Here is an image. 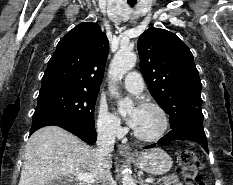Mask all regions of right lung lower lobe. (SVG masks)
Returning <instances> with one entry per match:
<instances>
[{
    "instance_id": "1",
    "label": "right lung lower lobe",
    "mask_w": 233,
    "mask_h": 185,
    "mask_svg": "<svg viewBox=\"0 0 233 185\" xmlns=\"http://www.w3.org/2000/svg\"><path fill=\"white\" fill-rule=\"evenodd\" d=\"M48 125H56L62 127L74 135L78 136L83 141L92 144L96 141V130L95 128H90L78 123L62 121V120H38L32 123V128L30 134H32L37 129L48 126Z\"/></svg>"
}]
</instances>
